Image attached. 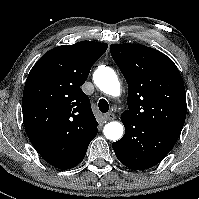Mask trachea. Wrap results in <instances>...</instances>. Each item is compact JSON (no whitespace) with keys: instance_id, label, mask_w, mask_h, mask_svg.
<instances>
[{"instance_id":"3493384b","label":"trachea","mask_w":199,"mask_h":199,"mask_svg":"<svg viewBox=\"0 0 199 199\" xmlns=\"http://www.w3.org/2000/svg\"><path fill=\"white\" fill-rule=\"evenodd\" d=\"M98 107L102 113H107L109 110V104L105 99L99 100Z\"/></svg>"}]
</instances>
